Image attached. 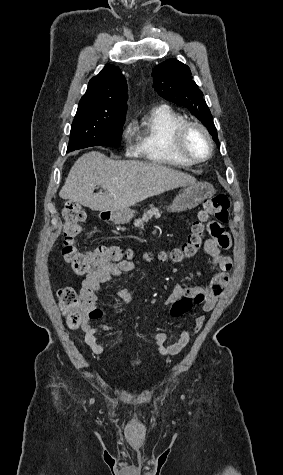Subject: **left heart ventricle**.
Wrapping results in <instances>:
<instances>
[{"instance_id":"obj_1","label":"left heart ventricle","mask_w":283,"mask_h":475,"mask_svg":"<svg viewBox=\"0 0 283 475\" xmlns=\"http://www.w3.org/2000/svg\"><path fill=\"white\" fill-rule=\"evenodd\" d=\"M166 152L172 157L188 155L190 157H205L209 151V145L204 135L196 128H190L185 136L182 146L168 144Z\"/></svg>"}]
</instances>
